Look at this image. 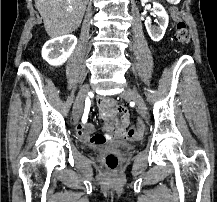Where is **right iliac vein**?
<instances>
[{
	"instance_id": "1",
	"label": "right iliac vein",
	"mask_w": 217,
	"mask_h": 202,
	"mask_svg": "<svg viewBox=\"0 0 217 202\" xmlns=\"http://www.w3.org/2000/svg\"><path fill=\"white\" fill-rule=\"evenodd\" d=\"M88 92H89V87L87 85H84L76 97V102L73 107V120L75 123L78 121V119L81 116L84 100Z\"/></svg>"
}]
</instances>
